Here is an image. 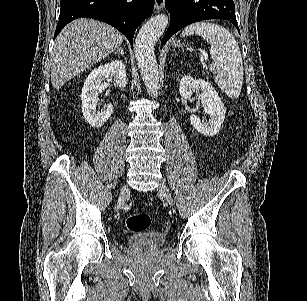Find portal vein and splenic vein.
<instances>
[{
    "label": "portal vein and splenic vein",
    "instance_id": "portal-vein-and-splenic-vein-1",
    "mask_svg": "<svg viewBox=\"0 0 307 301\" xmlns=\"http://www.w3.org/2000/svg\"><path fill=\"white\" fill-rule=\"evenodd\" d=\"M211 66H215V64H211Z\"/></svg>",
    "mask_w": 307,
    "mask_h": 301
}]
</instances>
